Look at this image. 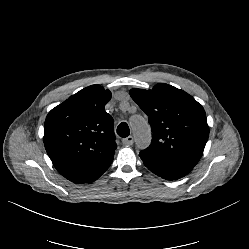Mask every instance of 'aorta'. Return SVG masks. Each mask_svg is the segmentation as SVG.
<instances>
[{
  "label": "aorta",
  "mask_w": 249,
  "mask_h": 249,
  "mask_svg": "<svg viewBox=\"0 0 249 249\" xmlns=\"http://www.w3.org/2000/svg\"><path fill=\"white\" fill-rule=\"evenodd\" d=\"M130 125L134 134V139L139 149L148 147L151 142V131L148 123L143 117H133Z\"/></svg>",
  "instance_id": "762f6f07"
}]
</instances>
